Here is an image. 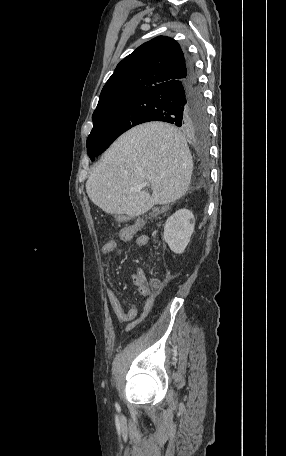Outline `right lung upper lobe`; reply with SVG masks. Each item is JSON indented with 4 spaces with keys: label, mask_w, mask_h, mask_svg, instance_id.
<instances>
[{
    "label": "right lung upper lobe",
    "mask_w": 286,
    "mask_h": 456,
    "mask_svg": "<svg viewBox=\"0 0 286 456\" xmlns=\"http://www.w3.org/2000/svg\"><path fill=\"white\" fill-rule=\"evenodd\" d=\"M187 59L179 44L158 36L138 47L116 67L103 87L97 109L185 75Z\"/></svg>",
    "instance_id": "right-lung-upper-lobe-1"
}]
</instances>
